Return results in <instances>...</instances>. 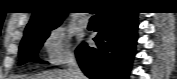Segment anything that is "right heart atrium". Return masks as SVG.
Masks as SVG:
<instances>
[{"mask_svg": "<svg viewBox=\"0 0 177 79\" xmlns=\"http://www.w3.org/2000/svg\"><path fill=\"white\" fill-rule=\"evenodd\" d=\"M44 60L51 66L61 65L73 57L70 39L62 28L51 29L43 40Z\"/></svg>", "mask_w": 177, "mask_h": 79, "instance_id": "1", "label": "right heart atrium"}]
</instances>
